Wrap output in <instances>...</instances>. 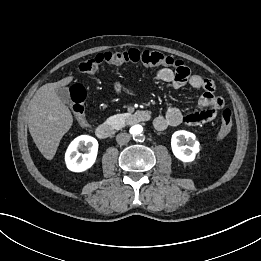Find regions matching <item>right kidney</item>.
Wrapping results in <instances>:
<instances>
[{
	"mask_svg": "<svg viewBox=\"0 0 261 261\" xmlns=\"http://www.w3.org/2000/svg\"><path fill=\"white\" fill-rule=\"evenodd\" d=\"M86 147L87 153H79V149ZM98 153V142L94 137L81 135L75 138L65 153L67 168L73 172H83L95 163Z\"/></svg>",
	"mask_w": 261,
	"mask_h": 261,
	"instance_id": "1",
	"label": "right kidney"
}]
</instances>
